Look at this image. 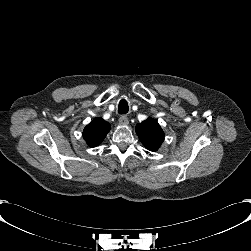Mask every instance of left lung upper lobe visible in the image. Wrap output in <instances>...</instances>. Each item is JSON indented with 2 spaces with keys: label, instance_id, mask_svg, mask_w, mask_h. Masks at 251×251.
<instances>
[{
  "label": "left lung upper lobe",
  "instance_id": "obj_1",
  "mask_svg": "<svg viewBox=\"0 0 251 251\" xmlns=\"http://www.w3.org/2000/svg\"><path fill=\"white\" fill-rule=\"evenodd\" d=\"M136 133L142 144L150 151H157L164 141V132L153 118L137 124Z\"/></svg>",
  "mask_w": 251,
  "mask_h": 251
}]
</instances>
